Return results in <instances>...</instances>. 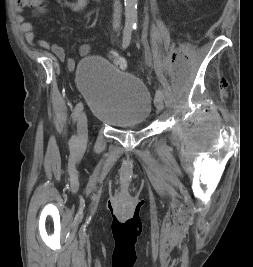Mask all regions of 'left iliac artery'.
I'll use <instances>...</instances> for the list:
<instances>
[{"mask_svg": "<svg viewBox=\"0 0 253 267\" xmlns=\"http://www.w3.org/2000/svg\"><path fill=\"white\" fill-rule=\"evenodd\" d=\"M159 94H162L164 96L163 91L160 89H157L155 93V97H157Z\"/></svg>", "mask_w": 253, "mask_h": 267, "instance_id": "left-iliac-artery-1", "label": "left iliac artery"}]
</instances>
